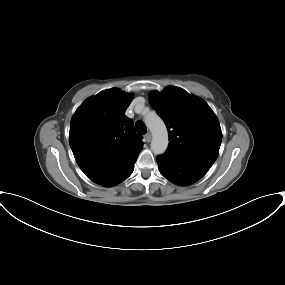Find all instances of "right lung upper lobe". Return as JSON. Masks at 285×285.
Masks as SVG:
<instances>
[{
	"instance_id": "right-lung-upper-lobe-1",
	"label": "right lung upper lobe",
	"mask_w": 285,
	"mask_h": 285,
	"mask_svg": "<svg viewBox=\"0 0 285 285\" xmlns=\"http://www.w3.org/2000/svg\"><path fill=\"white\" fill-rule=\"evenodd\" d=\"M132 95L117 88L87 98L74 113L69 142L74 157L93 182L104 185L134 162L142 137L125 115Z\"/></svg>"
}]
</instances>
